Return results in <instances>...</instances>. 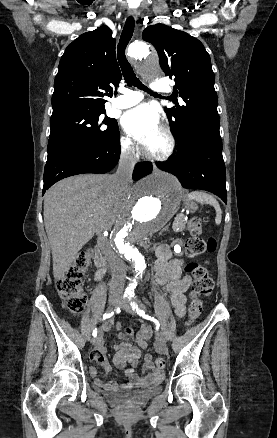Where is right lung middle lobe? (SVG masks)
<instances>
[{
    "label": "right lung middle lobe",
    "mask_w": 277,
    "mask_h": 438,
    "mask_svg": "<svg viewBox=\"0 0 277 438\" xmlns=\"http://www.w3.org/2000/svg\"><path fill=\"white\" fill-rule=\"evenodd\" d=\"M104 113L83 111L52 115L47 159L73 149L112 143L119 135L118 124L116 119L103 116Z\"/></svg>",
    "instance_id": "obj_1"
}]
</instances>
